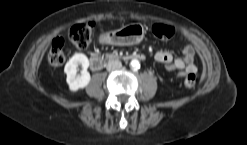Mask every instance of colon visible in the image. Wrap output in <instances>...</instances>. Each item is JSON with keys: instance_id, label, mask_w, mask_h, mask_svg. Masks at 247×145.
I'll return each mask as SVG.
<instances>
[{"instance_id": "colon-1", "label": "colon", "mask_w": 247, "mask_h": 145, "mask_svg": "<svg viewBox=\"0 0 247 145\" xmlns=\"http://www.w3.org/2000/svg\"><path fill=\"white\" fill-rule=\"evenodd\" d=\"M94 24L92 22L80 23L72 27L69 33L70 43L79 49L86 48L93 34ZM153 34L161 40H169L173 37L175 29L169 24H156L152 28ZM65 40L56 37L48 52V61L51 65L59 66L65 62ZM196 84L195 73H187L184 77V85L188 88Z\"/></svg>"}]
</instances>
